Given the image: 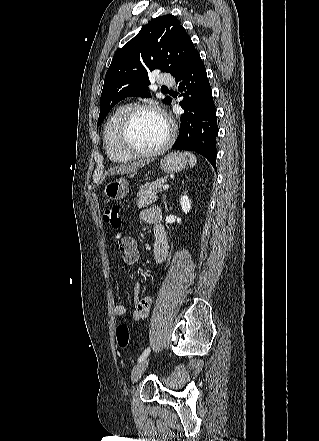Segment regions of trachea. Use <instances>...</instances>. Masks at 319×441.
<instances>
[{
  "mask_svg": "<svg viewBox=\"0 0 319 441\" xmlns=\"http://www.w3.org/2000/svg\"><path fill=\"white\" fill-rule=\"evenodd\" d=\"M162 89H167V87H162Z\"/></svg>",
  "mask_w": 319,
  "mask_h": 441,
  "instance_id": "1",
  "label": "trachea"
}]
</instances>
